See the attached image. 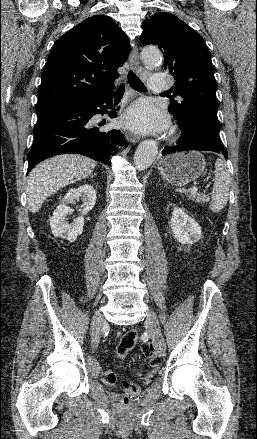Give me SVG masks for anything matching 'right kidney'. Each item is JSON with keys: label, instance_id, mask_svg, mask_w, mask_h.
Returning <instances> with one entry per match:
<instances>
[{"label": "right kidney", "instance_id": "right-kidney-1", "mask_svg": "<svg viewBox=\"0 0 257 439\" xmlns=\"http://www.w3.org/2000/svg\"><path fill=\"white\" fill-rule=\"evenodd\" d=\"M75 200H82L81 216L74 219L72 223L67 222V215L73 212L68 205L74 203ZM96 191L89 184L81 185L78 188L70 189L60 204L53 212L50 218V227L55 237L66 239L74 242L78 235L83 232L84 215H86L95 205Z\"/></svg>", "mask_w": 257, "mask_h": 439}]
</instances>
